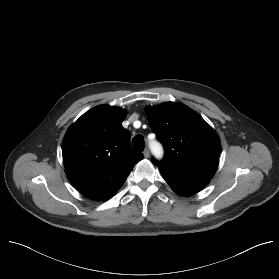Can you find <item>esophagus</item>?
I'll list each match as a JSON object with an SVG mask.
<instances>
[{
	"label": "esophagus",
	"mask_w": 279,
	"mask_h": 279,
	"mask_svg": "<svg viewBox=\"0 0 279 279\" xmlns=\"http://www.w3.org/2000/svg\"><path fill=\"white\" fill-rule=\"evenodd\" d=\"M143 154L145 158H148L150 156V152L147 148L144 150Z\"/></svg>",
	"instance_id": "1"
}]
</instances>
